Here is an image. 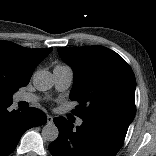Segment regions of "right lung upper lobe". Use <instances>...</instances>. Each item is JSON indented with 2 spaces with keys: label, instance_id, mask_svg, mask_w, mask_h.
<instances>
[{
  "label": "right lung upper lobe",
  "instance_id": "cb5924a9",
  "mask_svg": "<svg viewBox=\"0 0 156 156\" xmlns=\"http://www.w3.org/2000/svg\"><path fill=\"white\" fill-rule=\"evenodd\" d=\"M52 51L27 49L0 41V103L12 101L13 92L29 83L36 66Z\"/></svg>",
  "mask_w": 156,
  "mask_h": 156
}]
</instances>
